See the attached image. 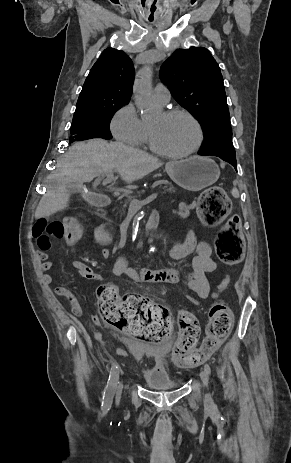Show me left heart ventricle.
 <instances>
[{"label": "left heart ventricle", "instance_id": "b2bd125f", "mask_svg": "<svg viewBox=\"0 0 291 463\" xmlns=\"http://www.w3.org/2000/svg\"><path fill=\"white\" fill-rule=\"evenodd\" d=\"M156 145L167 152L178 153L191 148L197 139L194 124L184 116L166 117L161 114L149 124Z\"/></svg>", "mask_w": 291, "mask_h": 463}]
</instances>
